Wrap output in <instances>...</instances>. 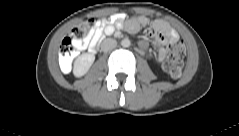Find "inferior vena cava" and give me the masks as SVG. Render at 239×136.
<instances>
[{
  "label": "inferior vena cava",
  "mask_w": 239,
  "mask_h": 136,
  "mask_svg": "<svg viewBox=\"0 0 239 136\" xmlns=\"http://www.w3.org/2000/svg\"><path fill=\"white\" fill-rule=\"evenodd\" d=\"M117 46V41L112 38H106L101 43V50L108 52L113 50Z\"/></svg>",
  "instance_id": "obj_1"
}]
</instances>
